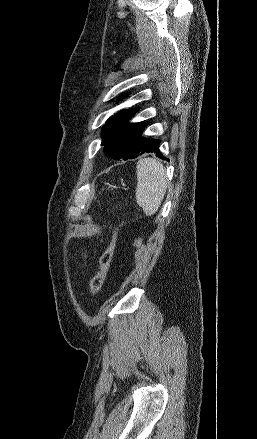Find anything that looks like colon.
Masks as SVG:
<instances>
[{"label": "colon", "instance_id": "5ec220e1", "mask_svg": "<svg viewBox=\"0 0 257 439\" xmlns=\"http://www.w3.org/2000/svg\"><path fill=\"white\" fill-rule=\"evenodd\" d=\"M117 234L118 229L114 232L110 244L98 258L97 271L90 281V290L93 293L98 292L101 289L106 279L116 246Z\"/></svg>", "mask_w": 257, "mask_h": 439}]
</instances>
